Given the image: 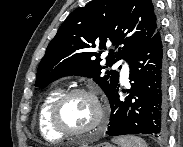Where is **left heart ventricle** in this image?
<instances>
[{"label": "left heart ventricle", "instance_id": "obj_1", "mask_svg": "<svg viewBox=\"0 0 183 147\" xmlns=\"http://www.w3.org/2000/svg\"><path fill=\"white\" fill-rule=\"evenodd\" d=\"M96 117L92 100L84 95L71 97L64 104L61 118L65 125L73 130H81L90 126Z\"/></svg>", "mask_w": 183, "mask_h": 147}]
</instances>
